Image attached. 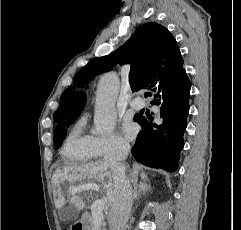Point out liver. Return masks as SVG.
<instances>
[{
	"mask_svg": "<svg viewBox=\"0 0 241 230\" xmlns=\"http://www.w3.org/2000/svg\"><path fill=\"white\" fill-rule=\"evenodd\" d=\"M112 178L110 167L105 165L103 161L88 163L77 167H64L62 170H58L54 176L58 184L63 183L65 180L69 182L70 186L67 192L72 195L70 204L78 210H82L85 207L81 193L93 190L95 186L102 190L107 203L112 204L115 194ZM141 179L145 182L148 180L147 175L143 173ZM56 194L55 206L61 211V215L65 216L70 208L63 209V206L66 204V198L60 187H58Z\"/></svg>",
	"mask_w": 241,
	"mask_h": 230,
	"instance_id": "1",
	"label": "liver"
}]
</instances>
